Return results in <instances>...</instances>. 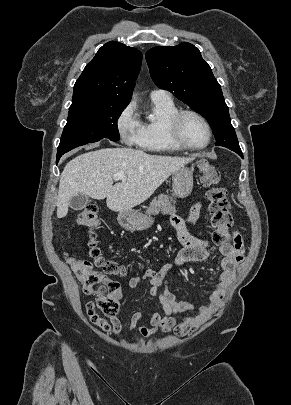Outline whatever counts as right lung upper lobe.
I'll use <instances>...</instances> for the list:
<instances>
[{
  "label": "right lung upper lobe",
  "mask_w": 291,
  "mask_h": 405,
  "mask_svg": "<svg viewBox=\"0 0 291 405\" xmlns=\"http://www.w3.org/2000/svg\"><path fill=\"white\" fill-rule=\"evenodd\" d=\"M141 61L138 49L116 41L106 43L76 81L72 105L98 102L128 105Z\"/></svg>",
  "instance_id": "cb5924a9"
}]
</instances>
